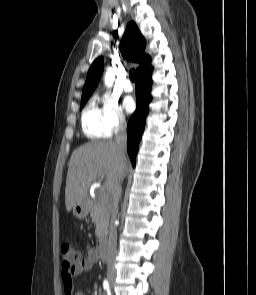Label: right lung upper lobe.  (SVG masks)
Listing matches in <instances>:
<instances>
[{
    "instance_id": "cb5924a9",
    "label": "right lung upper lobe",
    "mask_w": 256,
    "mask_h": 295,
    "mask_svg": "<svg viewBox=\"0 0 256 295\" xmlns=\"http://www.w3.org/2000/svg\"><path fill=\"white\" fill-rule=\"evenodd\" d=\"M120 49L125 58L139 63V68L136 70V76L151 68V59L145 54V39L134 22L128 24L121 40ZM102 72L103 58L99 57L93 62L88 71L82 97L91 96L100 80Z\"/></svg>"
}]
</instances>
